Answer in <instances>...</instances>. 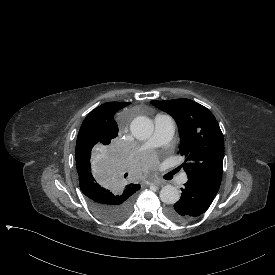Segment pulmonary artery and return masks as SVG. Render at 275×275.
I'll use <instances>...</instances> for the list:
<instances>
[{"label": "pulmonary artery", "instance_id": "1", "mask_svg": "<svg viewBox=\"0 0 275 275\" xmlns=\"http://www.w3.org/2000/svg\"><path fill=\"white\" fill-rule=\"evenodd\" d=\"M155 132L149 141L138 149L139 153H143L144 149L149 146H158L167 141L174 131V120L169 115H157L154 118ZM188 180L186 173L183 174L181 182L185 183Z\"/></svg>", "mask_w": 275, "mask_h": 275}]
</instances>
